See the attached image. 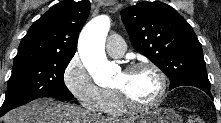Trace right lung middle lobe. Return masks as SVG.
I'll return each mask as SVG.
<instances>
[{"mask_svg": "<svg viewBox=\"0 0 221 123\" xmlns=\"http://www.w3.org/2000/svg\"><path fill=\"white\" fill-rule=\"evenodd\" d=\"M73 56L55 52L18 51L1 114L41 97L73 99L63 80L64 71Z\"/></svg>", "mask_w": 221, "mask_h": 123, "instance_id": "right-lung-middle-lobe-1", "label": "right lung middle lobe"}]
</instances>
